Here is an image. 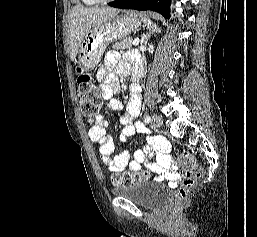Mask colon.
<instances>
[{"label":"colon","mask_w":257,"mask_h":237,"mask_svg":"<svg viewBox=\"0 0 257 237\" xmlns=\"http://www.w3.org/2000/svg\"><path fill=\"white\" fill-rule=\"evenodd\" d=\"M78 94L81 103V112L84 117L95 119L102 105V93L100 88L93 82L90 75L80 72L77 78ZM179 164L183 167V179L180 182L177 191L176 204L172 211V217H180L181 208L186 202L188 196L195 187L196 181L203 176V169L196 164L193 157L184 152L180 154ZM147 177L145 173L123 172L113 176V184L116 186H126L144 180Z\"/></svg>","instance_id":"1"}]
</instances>
